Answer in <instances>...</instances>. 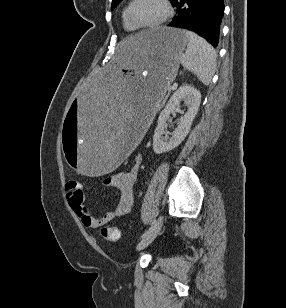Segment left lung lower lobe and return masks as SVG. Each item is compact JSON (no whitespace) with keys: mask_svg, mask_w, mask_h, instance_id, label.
<instances>
[{"mask_svg":"<svg viewBox=\"0 0 286 308\" xmlns=\"http://www.w3.org/2000/svg\"><path fill=\"white\" fill-rule=\"evenodd\" d=\"M171 3L177 15L168 26L194 31L217 47L224 14L223 0H172Z\"/></svg>","mask_w":286,"mask_h":308,"instance_id":"left-lung-lower-lobe-1","label":"left lung lower lobe"}]
</instances>
